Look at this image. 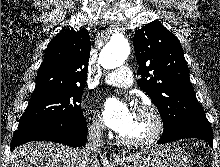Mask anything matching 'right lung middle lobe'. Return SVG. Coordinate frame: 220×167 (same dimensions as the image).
I'll return each instance as SVG.
<instances>
[{"mask_svg": "<svg viewBox=\"0 0 220 167\" xmlns=\"http://www.w3.org/2000/svg\"><path fill=\"white\" fill-rule=\"evenodd\" d=\"M84 86L69 87L61 91L31 98L22 115L18 129L55 124L70 125L83 119L81 105Z\"/></svg>", "mask_w": 220, "mask_h": 167, "instance_id": "dd1d6c3e", "label": "right lung middle lobe"}]
</instances>
